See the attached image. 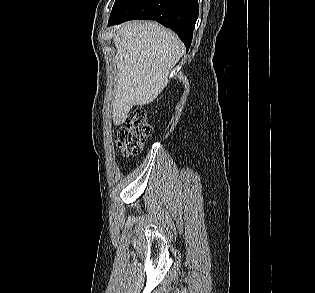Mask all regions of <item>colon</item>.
<instances>
[{"label":"colon","instance_id":"1","mask_svg":"<svg viewBox=\"0 0 315 293\" xmlns=\"http://www.w3.org/2000/svg\"><path fill=\"white\" fill-rule=\"evenodd\" d=\"M151 127L147 122L145 111L136 109L125 120V124L118 131V146L126 156L139 154L150 135Z\"/></svg>","mask_w":315,"mask_h":293}]
</instances>
